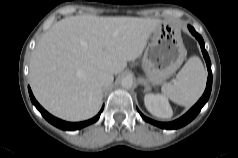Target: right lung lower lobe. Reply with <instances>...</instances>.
Wrapping results in <instances>:
<instances>
[{"label":"right lung lower lobe","mask_w":238,"mask_h":158,"mask_svg":"<svg viewBox=\"0 0 238 158\" xmlns=\"http://www.w3.org/2000/svg\"><path fill=\"white\" fill-rule=\"evenodd\" d=\"M29 90V95L31 98L32 103L36 106V108L40 111V113L42 114V116L49 121L51 124H53L54 126L63 129V130H76V129H80L82 127H85L89 124L94 123L95 121H97L100 117L101 112L103 111V108L101 109V111L98 113L97 116H95L94 118L88 120V121H84V122H79V123H70V122H65L63 120H60L58 118H55L54 116H52L51 114H49L47 111H45L40 105L39 103L36 101V99L34 98L32 91L30 89V87H28Z\"/></svg>","instance_id":"1"}]
</instances>
